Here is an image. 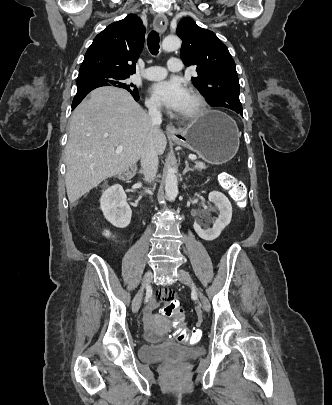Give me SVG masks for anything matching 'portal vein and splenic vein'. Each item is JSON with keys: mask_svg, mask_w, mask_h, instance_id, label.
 Returning a JSON list of instances; mask_svg holds the SVG:
<instances>
[{"mask_svg": "<svg viewBox=\"0 0 332 405\" xmlns=\"http://www.w3.org/2000/svg\"><path fill=\"white\" fill-rule=\"evenodd\" d=\"M123 151V146H118L117 148H116V153L117 154H119V153H121ZM189 159L190 160H196V156H194V155H189Z\"/></svg>", "mask_w": 332, "mask_h": 405, "instance_id": "1", "label": "portal vein and splenic vein"}]
</instances>
